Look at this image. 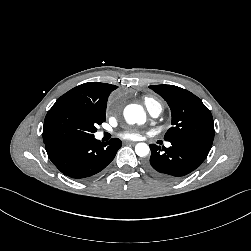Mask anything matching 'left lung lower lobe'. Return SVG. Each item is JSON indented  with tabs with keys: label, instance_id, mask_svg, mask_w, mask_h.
I'll list each match as a JSON object with an SVG mask.
<instances>
[{
	"label": "left lung lower lobe",
	"instance_id": "left-lung-lower-lobe-1",
	"mask_svg": "<svg viewBox=\"0 0 251 251\" xmlns=\"http://www.w3.org/2000/svg\"><path fill=\"white\" fill-rule=\"evenodd\" d=\"M151 157L147 170L164 181H175L191 173L206 159L211 145L191 140L172 141L171 147L162 149L150 145Z\"/></svg>",
	"mask_w": 251,
	"mask_h": 251
}]
</instances>
